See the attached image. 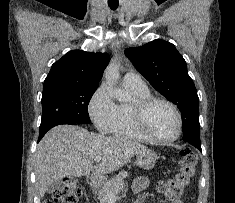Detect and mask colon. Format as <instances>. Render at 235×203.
I'll return each instance as SVG.
<instances>
[{
  "label": "colon",
  "mask_w": 235,
  "mask_h": 203,
  "mask_svg": "<svg viewBox=\"0 0 235 203\" xmlns=\"http://www.w3.org/2000/svg\"><path fill=\"white\" fill-rule=\"evenodd\" d=\"M197 156L189 149L181 151V159L175 174L158 183V191L169 199H178L195 176ZM82 192L72 178L64 179L46 203H78Z\"/></svg>",
  "instance_id": "colon-1"
}]
</instances>
